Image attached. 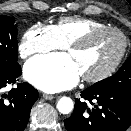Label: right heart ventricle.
Segmentation results:
<instances>
[{"mask_svg":"<svg viewBox=\"0 0 131 131\" xmlns=\"http://www.w3.org/2000/svg\"><path fill=\"white\" fill-rule=\"evenodd\" d=\"M106 26V24L91 18L65 17L61 18L54 28L60 42L66 46L84 33Z\"/></svg>","mask_w":131,"mask_h":131,"instance_id":"e07e8e85","label":"right heart ventricle"}]
</instances>
